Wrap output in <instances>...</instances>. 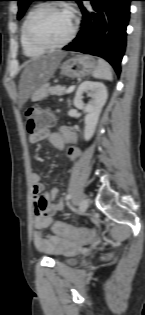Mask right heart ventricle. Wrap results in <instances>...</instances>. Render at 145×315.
Here are the masks:
<instances>
[{"mask_svg": "<svg viewBox=\"0 0 145 315\" xmlns=\"http://www.w3.org/2000/svg\"><path fill=\"white\" fill-rule=\"evenodd\" d=\"M38 9V7L31 8L25 15L21 27H20V43L23 49V52L28 57H38L42 55L45 51L39 48L34 47L29 43L26 37V24L30 16Z\"/></svg>", "mask_w": 145, "mask_h": 315, "instance_id": "obj_1", "label": "right heart ventricle"}]
</instances>
